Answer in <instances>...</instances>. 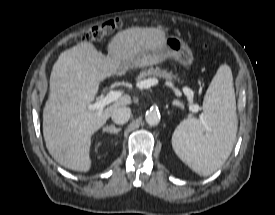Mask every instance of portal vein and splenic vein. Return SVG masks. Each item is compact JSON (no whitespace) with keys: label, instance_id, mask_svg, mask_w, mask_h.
I'll return each instance as SVG.
<instances>
[{"label":"portal vein and splenic vein","instance_id":"obj_1","mask_svg":"<svg viewBox=\"0 0 275 215\" xmlns=\"http://www.w3.org/2000/svg\"><path fill=\"white\" fill-rule=\"evenodd\" d=\"M157 83H158L157 79L150 78V79L140 82L138 84V87L142 88V89L143 88L147 89L153 85H156ZM183 93L187 97L188 104H189V110L194 113L198 112L200 110V107H199V105L193 103V95H194L193 91L188 87H184ZM121 95H122V91L111 90L108 92V94L105 97L101 98L100 100L96 101L93 104L88 105L87 108H88V110H97V111H99V114H100L103 111L105 106L118 100Z\"/></svg>","mask_w":275,"mask_h":215}]
</instances>
